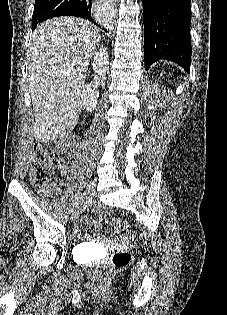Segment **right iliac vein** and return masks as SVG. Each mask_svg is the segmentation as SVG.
Returning <instances> with one entry per match:
<instances>
[{
    "mask_svg": "<svg viewBox=\"0 0 227 315\" xmlns=\"http://www.w3.org/2000/svg\"><path fill=\"white\" fill-rule=\"evenodd\" d=\"M95 188H96V184L94 182H90L87 185L86 190H85L82 198L78 201V203L75 207V210L73 211L72 218H76L82 213L84 206L87 203V201L92 199V197L95 193Z\"/></svg>",
    "mask_w": 227,
    "mask_h": 315,
    "instance_id": "1",
    "label": "right iliac vein"
}]
</instances>
